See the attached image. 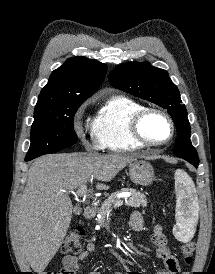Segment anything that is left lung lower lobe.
Masks as SVG:
<instances>
[{
    "label": "left lung lower lobe",
    "instance_id": "1",
    "mask_svg": "<svg viewBox=\"0 0 215 274\" xmlns=\"http://www.w3.org/2000/svg\"><path fill=\"white\" fill-rule=\"evenodd\" d=\"M188 162L191 163L192 165H194L195 167H197L198 163H199V162H193V161H188Z\"/></svg>",
    "mask_w": 215,
    "mask_h": 274
}]
</instances>
